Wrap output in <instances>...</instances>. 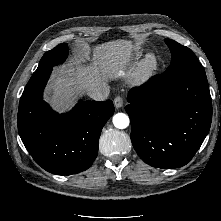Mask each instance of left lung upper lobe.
<instances>
[{"label": "left lung upper lobe", "mask_w": 221, "mask_h": 221, "mask_svg": "<svg viewBox=\"0 0 221 221\" xmlns=\"http://www.w3.org/2000/svg\"><path fill=\"white\" fill-rule=\"evenodd\" d=\"M165 42L170 48L172 56L171 65L168 68H171L174 65L184 61L197 59L192 50H190L188 47L182 46L179 43L169 39H165Z\"/></svg>", "instance_id": "5c2ea615"}]
</instances>
